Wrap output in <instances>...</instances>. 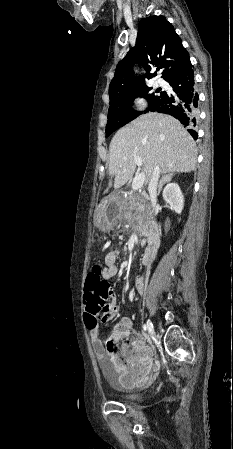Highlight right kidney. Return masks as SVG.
Returning a JSON list of instances; mask_svg holds the SVG:
<instances>
[{"label":"right kidney","instance_id":"right-kidney-1","mask_svg":"<svg viewBox=\"0 0 233 449\" xmlns=\"http://www.w3.org/2000/svg\"><path fill=\"white\" fill-rule=\"evenodd\" d=\"M163 199L167 202L171 209L180 214L184 206V197L177 183H169L163 190Z\"/></svg>","mask_w":233,"mask_h":449}]
</instances>
